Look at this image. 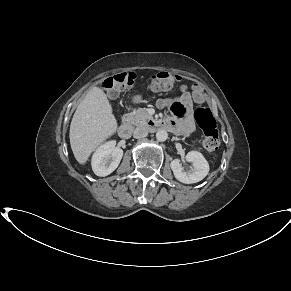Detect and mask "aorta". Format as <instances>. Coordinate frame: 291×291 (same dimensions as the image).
Here are the masks:
<instances>
[{
    "label": "aorta",
    "mask_w": 291,
    "mask_h": 291,
    "mask_svg": "<svg viewBox=\"0 0 291 291\" xmlns=\"http://www.w3.org/2000/svg\"><path fill=\"white\" fill-rule=\"evenodd\" d=\"M167 138H168V134H167V132L165 130H159V131H157V133H156V139H157V141L164 142V141L167 140Z\"/></svg>",
    "instance_id": "1"
}]
</instances>
